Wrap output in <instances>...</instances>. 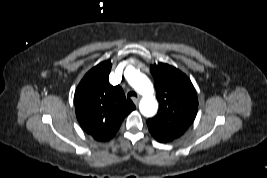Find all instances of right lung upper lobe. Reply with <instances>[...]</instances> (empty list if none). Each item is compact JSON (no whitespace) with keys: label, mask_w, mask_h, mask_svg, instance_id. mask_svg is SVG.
<instances>
[{"label":"right lung upper lobe","mask_w":267,"mask_h":178,"mask_svg":"<svg viewBox=\"0 0 267 178\" xmlns=\"http://www.w3.org/2000/svg\"><path fill=\"white\" fill-rule=\"evenodd\" d=\"M112 64L103 61L79 83L74 96L76 117L82 129L96 141H109L124 118L135 109L122 88L112 86L108 77Z\"/></svg>","instance_id":"right-lung-upper-lobe-1"}]
</instances>
